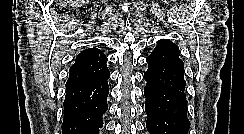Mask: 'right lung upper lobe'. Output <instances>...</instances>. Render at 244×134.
<instances>
[{
	"label": "right lung upper lobe",
	"instance_id": "1",
	"mask_svg": "<svg viewBox=\"0 0 244 134\" xmlns=\"http://www.w3.org/2000/svg\"><path fill=\"white\" fill-rule=\"evenodd\" d=\"M107 57L97 48L82 51L71 66L67 84L89 82L108 75Z\"/></svg>",
	"mask_w": 244,
	"mask_h": 134
}]
</instances>
